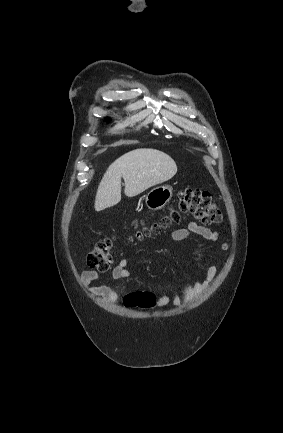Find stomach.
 <instances>
[{
    "mask_svg": "<svg viewBox=\"0 0 283 433\" xmlns=\"http://www.w3.org/2000/svg\"><path fill=\"white\" fill-rule=\"evenodd\" d=\"M173 196L172 186H155L146 196V204L152 210H158L165 206Z\"/></svg>",
    "mask_w": 283,
    "mask_h": 433,
    "instance_id": "1",
    "label": "stomach"
}]
</instances>
